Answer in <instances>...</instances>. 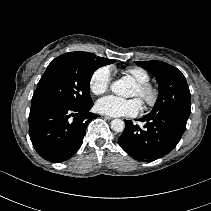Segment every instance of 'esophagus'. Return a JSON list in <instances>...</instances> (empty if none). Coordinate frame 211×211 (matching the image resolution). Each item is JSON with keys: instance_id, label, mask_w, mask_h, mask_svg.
<instances>
[{"instance_id": "esophagus-1", "label": "esophagus", "mask_w": 211, "mask_h": 211, "mask_svg": "<svg viewBox=\"0 0 211 211\" xmlns=\"http://www.w3.org/2000/svg\"><path fill=\"white\" fill-rule=\"evenodd\" d=\"M102 117H103L104 119H107V120H111V119H113L112 117L107 116V115H102Z\"/></svg>"}]
</instances>
